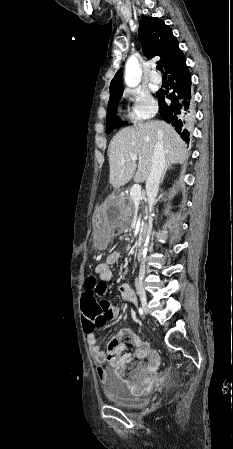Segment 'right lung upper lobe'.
I'll use <instances>...</instances> for the list:
<instances>
[{
  "label": "right lung upper lobe",
  "mask_w": 233,
  "mask_h": 449,
  "mask_svg": "<svg viewBox=\"0 0 233 449\" xmlns=\"http://www.w3.org/2000/svg\"><path fill=\"white\" fill-rule=\"evenodd\" d=\"M139 38L144 47V54L150 58L160 56L161 62L168 73L185 61L178 41L169 26L155 17H142L140 20ZM123 92L122 73L117 71L110 83V97Z\"/></svg>",
  "instance_id": "right-lung-upper-lobe-1"
}]
</instances>
